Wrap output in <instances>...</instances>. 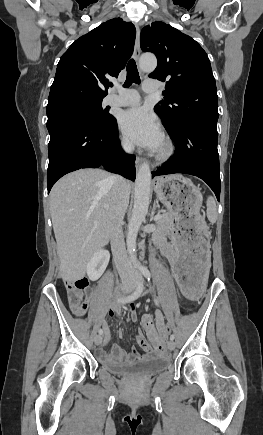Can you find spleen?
I'll return each instance as SVG.
<instances>
[{
  "label": "spleen",
  "mask_w": 263,
  "mask_h": 435,
  "mask_svg": "<svg viewBox=\"0 0 263 435\" xmlns=\"http://www.w3.org/2000/svg\"><path fill=\"white\" fill-rule=\"evenodd\" d=\"M216 214H217L216 202L215 199L210 196L207 199V217L210 221L214 222L216 221Z\"/></svg>",
  "instance_id": "3e777b00"
}]
</instances>
